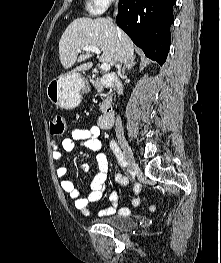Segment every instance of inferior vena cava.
I'll use <instances>...</instances> for the list:
<instances>
[{"label":"inferior vena cava","instance_id":"obj_1","mask_svg":"<svg viewBox=\"0 0 221 263\" xmlns=\"http://www.w3.org/2000/svg\"><path fill=\"white\" fill-rule=\"evenodd\" d=\"M116 13H117V1H116V5H115V10H114V16L116 15ZM116 67L118 69V71H117L118 75H121V63L118 62L116 64ZM115 131H116L117 136H119V137L123 136V128H122L120 116H117Z\"/></svg>","mask_w":221,"mask_h":263}]
</instances>
